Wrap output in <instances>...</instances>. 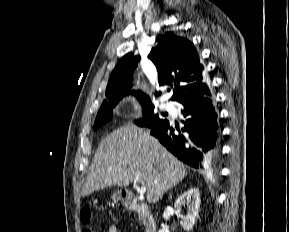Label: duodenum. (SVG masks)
Masks as SVG:
<instances>
[{
  "label": "duodenum",
  "instance_id": "obj_1",
  "mask_svg": "<svg viewBox=\"0 0 289 232\" xmlns=\"http://www.w3.org/2000/svg\"><path fill=\"white\" fill-rule=\"evenodd\" d=\"M120 197L126 208L137 212L141 216L145 232H157L156 218L147 205L138 203L134 194L128 190H122Z\"/></svg>",
  "mask_w": 289,
  "mask_h": 232
}]
</instances>
